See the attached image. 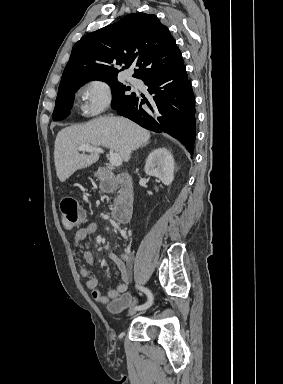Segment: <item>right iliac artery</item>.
<instances>
[{"label":"right iliac artery","instance_id":"right-iliac-artery-1","mask_svg":"<svg viewBox=\"0 0 283 384\" xmlns=\"http://www.w3.org/2000/svg\"><path fill=\"white\" fill-rule=\"evenodd\" d=\"M122 257L124 259L128 260V257L126 255H122ZM136 287L146 294L148 300H147L146 303H144L142 305L135 306V308L137 310H145V309L149 308L152 305V303H153V295H152L151 291L149 289L145 288V287H142V286H139V285H137Z\"/></svg>","mask_w":283,"mask_h":384}]
</instances>
